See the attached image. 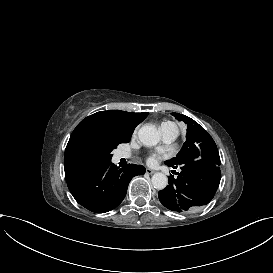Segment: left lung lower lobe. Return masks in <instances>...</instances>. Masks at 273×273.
Listing matches in <instances>:
<instances>
[{"mask_svg": "<svg viewBox=\"0 0 273 273\" xmlns=\"http://www.w3.org/2000/svg\"><path fill=\"white\" fill-rule=\"evenodd\" d=\"M175 169L177 165H169ZM176 179L171 176L169 185L160 190V202L169 210L187 211L195 206L208 204L214 197L221 179L219 165L205 160H193L181 164Z\"/></svg>", "mask_w": 273, "mask_h": 273, "instance_id": "obj_1", "label": "left lung lower lobe"}]
</instances>
